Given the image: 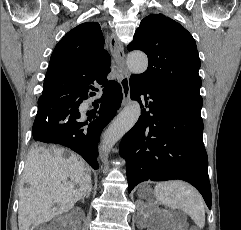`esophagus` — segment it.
Listing matches in <instances>:
<instances>
[{"label":"esophagus","instance_id":"34e87169","mask_svg":"<svg viewBox=\"0 0 241 230\" xmlns=\"http://www.w3.org/2000/svg\"><path fill=\"white\" fill-rule=\"evenodd\" d=\"M109 47H110L111 53L116 58L118 70L120 72V84H121L122 93H123L122 106H126L127 104L130 103L129 79H130L131 73L127 69V66L125 63L124 47L121 41L115 35L111 36L109 40Z\"/></svg>","mask_w":241,"mask_h":230}]
</instances>
